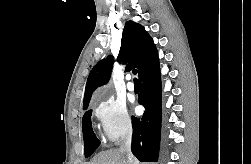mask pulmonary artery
<instances>
[{
	"instance_id": "obj_1",
	"label": "pulmonary artery",
	"mask_w": 251,
	"mask_h": 164,
	"mask_svg": "<svg viewBox=\"0 0 251 164\" xmlns=\"http://www.w3.org/2000/svg\"><path fill=\"white\" fill-rule=\"evenodd\" d=\"M127 89H128L129 91H134V90H135L134 83L131 82V81H129V82L127 83Z\"/></svg>"
}]
</instances>
